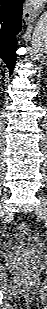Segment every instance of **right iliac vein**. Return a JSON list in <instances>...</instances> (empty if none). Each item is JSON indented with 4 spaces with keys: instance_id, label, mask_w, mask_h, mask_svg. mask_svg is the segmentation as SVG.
I'll use <instances>...</instances> for the list:
<instances>
[{
    "instance_id": "right-iliac-vein-1",
    "label": "right iliac vein",
    "mask_w": 47,
    "mask_h": 309,
    "mask_svg": "<svg viewBox=\"0 0 47 309\" xmlns=\"http://www.w3.org/2000/svg\"><path fill=\"white\" fill-rule=\"evenodd\" d=\"M0 211H1V212H0V213H1V216H3V215L5 214V210H4V208H3L2 206L0 207Z\"/></svg>"
}]
</instances>
